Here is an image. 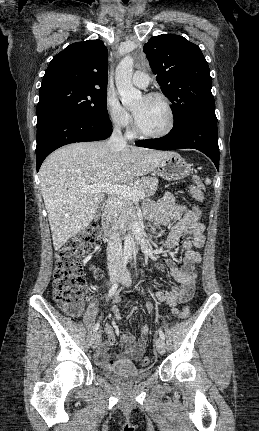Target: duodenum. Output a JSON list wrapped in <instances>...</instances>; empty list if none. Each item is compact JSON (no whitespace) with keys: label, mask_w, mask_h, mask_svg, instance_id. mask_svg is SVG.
Masks as SVG:
<instances>
[{"label":"duodenum","mask_w":259,"mask_h":431,"mask_svg":"<svg viewBox=\"0 0 259 431\" xmlns=\"http://www.w3.org/2000/svg\"><path fill=\"white\" fill-rule=\"evenodd\" d=\"M101 226L105 233L106 240L110 242L115 234V228H114L113 217H112V208L110 204H107L102 211ZM134 236H135L134 249L138 250L139 240H140V233L138 229H135Z\"/></svg>","instance_id":"duodenum-1"}]
</instances>
